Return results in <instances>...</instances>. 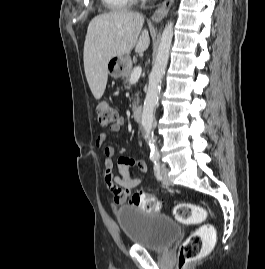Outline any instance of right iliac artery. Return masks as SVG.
Instances as JSON below:
<instances>
[{"label":"right iliac artery","instance_id":"right-iliac-artery-1","mask_svg":"<svg viewBox=\"0 0 265 269\" xmlns=\"http://www.w3.org/2000/svg\"><path fill=\"white\" fill-rule=\"evenodd\" d=\"M157 159H158V157H157V156H152V157H151V160H152L153 162H156V161H157Z\"/></svg>","mask_w":265,"mask_h":269}]
</instances>
